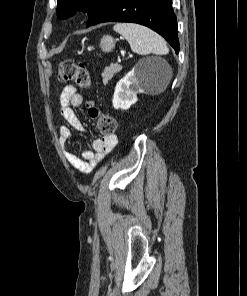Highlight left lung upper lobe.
I'll return each instance as SVG.
<instances>
[{
    "label": "left lung upper lobe",
    "instance_id": "left-lung-upper-lobe-1",
    "mask_svg": "<svg viewBox=\"0 0 247 296\" xmlns=\"http://www.w3.org/2000/svg\"><path fill=\"white\" fill-rule=\"evenodd\" d=\"M107 0H58L57 17L65 19L82 10L89 18L93 16Z\"/></svg>",
    "mask_w": 247,
    "mask_h": 296
}]
</instances>
